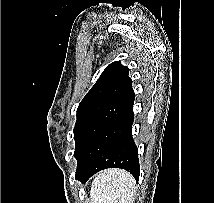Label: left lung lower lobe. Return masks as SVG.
<instances>
[{
	"mask_svg": "<svg viewBox=\"0 0 214 203\" xmlns=\"http://www.w3.org/2000/svg\"><path fill=\"white\" fill-rule=\"evenodd\" d=\"M134 96L131 80L89 126L75 155L77 180L84 183L98 171L122 168L138 181V148L132 138Z\"/></svg>",
	"mask_w": 214,
	"mask_h": 203,
	"instance_id": "0a47b994",
	"label": "left lung lower lobe"
}]
</instances>
